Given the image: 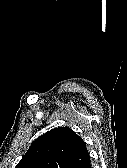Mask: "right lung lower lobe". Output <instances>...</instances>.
<instances>
[{"label": "right lung lower lobe", "mask_w": 127, "mask_h": 168, "mask_svg": "<svg viewBox=\"0 0 127 168\" xmlns=\"http://www.w3.org/2000/svg\"><path fill=\"white\" fill-rule=\"evenodd\" d=\"M77 168H91L90 159L81 163Z\"/></svg>", "instance_id": "right-lung-lower-lobe-1"}]
</instances>
